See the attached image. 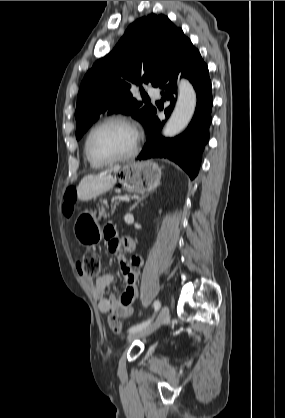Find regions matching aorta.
Here are the masks:
<instances>
[{
  "label": "aorta",
  "instance_id": "aorta-1",
  "mask_svg": "<svg viewBox=\"0 0 285 418\" xmlns=\"http://www.w3.org/2000/svg\"><path fill=\"white\" fill-rule=\"evenodd\" d=\"M196 102V92L192 84L186 79H181L178 84V99L175 108L163 129L165 137L179 134L189 124Z\"/></svg>",
  "mask_w": 285,
  "mask_h": 418
}]
</instances>
